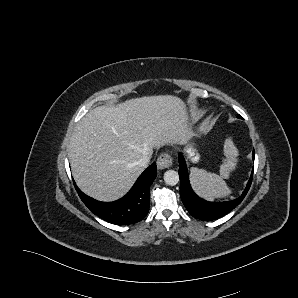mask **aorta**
Listing matches in <instances>:
<instances>
[{
    "label": "aorta",
    "mask_w": 298,
    "mask_h": 298,
    "mask_svg": "<svg viewBox=\"0 0 298 298\" xmlns=\"http://www.w3.org/2000/svg\"><path fill=\"white\" fill-rule=\"evenodd\" d=\"M163 180L167 185L175 186L179 183L180 176L176 170L170 169L164 172Z\"/></svg>",
    "instance_id": "aorta-1"
}]
</instances>
